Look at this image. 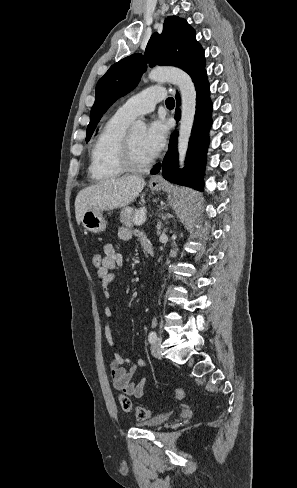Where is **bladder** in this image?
<instances>
[{
  "mask_svg": "<svg viewBox=\"0 0 297 488\" xmlns=\"http://www.w3.org/2000/svg\"><path fill=\"white\" fill-rule=\"evenodd\" d=\"M170 418H171V413H163L145 422L139 423L138 426L146 427V428H156L169 421Z\"/></svg>",
  "mask_w": 297,
  "mask_h": 488,
  "instance_id": "bladder-1",
  "label": "bladder"
}]
</instances>
